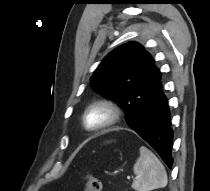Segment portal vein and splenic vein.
Masks as SVG:
<instances>
[{
    "mask_svg": "<svg viewBox=\"0 0 210 191\" xmlns=\"http://www.w3.org/2000/svg\"><path fill=\"white\" fill-rule=\"evenodd\" d=\"M132 177L131 176H127V179L130 180Z\"/></svg>",
    "mask_w": 210,
    "mask_h": 191,
    "instance_id": "portal-vein-and-splenic-vein-1",
    "label": "portal vein and splenic vein"
}]
</instances>
